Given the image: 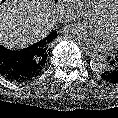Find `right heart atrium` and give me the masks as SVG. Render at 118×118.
<instances>
[{"instance_id":"obj_1","label":"right heart atrium","mask_w":118,"mask_h":118,"mask_svg":"<svg viewBox=\"0 0 118 118\" xmlns=\"http://www.w3.org/2000/svg\"><path fill=\"white\" fill-rule=\"evenodd\" d=\"M61 6L57 12V19L61 23H68L76 18L74 6L78 0H60Z\"/></svg>"}]
</instances>
